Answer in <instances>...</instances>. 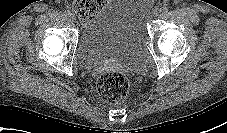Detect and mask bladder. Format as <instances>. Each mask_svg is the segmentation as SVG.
<instances>
[{
    "label": "bladder",
    "mask_w": 227,
    "mask_h": 133,
    "mask_svg": "<svg viewBox=\"0 0 227 133\" xmlns=\"http://www.w3.org/2000/svg\"><path fill=\"white\" fill-rule=\"evenodd\" d=\"M151 5V0H108L82 27L76 49L80 66L114 62L139 71L144 61V22Z\"/></svg>",
    "instance_id": "31cf9c89"
}]
</instances>
